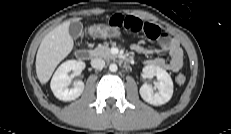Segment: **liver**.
Segmentation results:
<instances>
[{
	"label": "liver",
	"instance_id": "liver-1",
	"mask_svg": "<svg viewBox=\"0 0 231 134\" xmlns=\"http://www.w3.org/2000/svg\"><path fill=\"white\" fill-rule=\"evenodd\" d=\"M78 20L63 22L42 39L36 55V73L42 84L49 81L57 65L72 51L74 42L69 26Z\"/></svg>",
	"mask_w": 231,
	"mask_h": 134
}]
</instances>
